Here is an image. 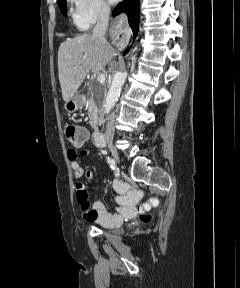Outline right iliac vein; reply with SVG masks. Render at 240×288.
<instances>
[{"mask_svg":"<svg viewBox=\"0 0 240 288\" xmlns=\"http://www.w3.org/2000/svg\"><path fill=\"white\" fill-rule=\"evenodd\" d=\"M109 149H110V152H111L114 160H115L117 163H119L120 160H119V154H118L117 149H116L115 147H113V146H110Z\"/></svg>","mask_w":240,"mask_h":288,"instance_id":"obj_1","label":"right iliac vein"}]
</instances>
